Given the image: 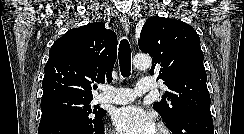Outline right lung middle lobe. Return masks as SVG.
<instances>
[{
  "mask_svg": "<svg viewBox=\"0 0 244 134\" xmlns=\"http://www.w3.org/2000/svg\"><path fill=\"white\" fill-rule=\"evenodd\" d=\"M90 99L55 97L41 101V120L38 134L54 124L82 123L95 124L102 120L106 111L99 106L92 107Z\"/></svg>",
  "mask_w": 244,
  "mask_h": 134,
  "instance_id": "obj_1",
  "label": "right lung middle lobe"
}]
</instances>
